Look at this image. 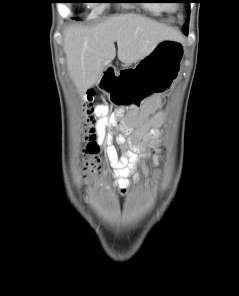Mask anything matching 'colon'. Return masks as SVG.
I'll use <instances>...</instances> for the list:
<instances>
[{
  "label": "colon",
  "mask_w": 239,
  "mask_h": 296,
  "mask_svg": "<svg viewBox=\"0 0 239 296\" xmlns=\"http://www.w3.org/2000/svg\"><path fill=\"white\" fill-rule=\"evenodd\" d=\"M92 91L87 96L82 105V112L85 117L82 121V138L85 143V156L87 158L85 171L89 176H96L100 173V160L98 157L99 146L96 133V106L91 101Z\"/></svg>",
  "instance_id": "5ec220e1"
}]
</instances>
